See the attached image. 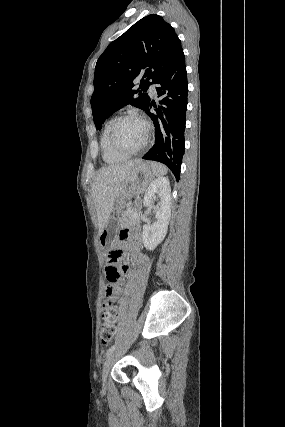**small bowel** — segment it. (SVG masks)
Masks as SVG:
<instances>
[{
  "label": "small bowel",
  "instance_id": "small-bowel-1",
  "mask_svg": "<svg viewBox=\"0 0 285 427\" xmlns=\"http://www.w3.org/2000/svg\"><path fill=\"white\" fill-rule=\"evenodd\" d=\"M130 236L127 239V243H128V247L132 253V259L136 262H141L143 260H145V256L141 253V239H140V228L138 226H135L131 231H130ZM108 289V287H107ZM111 294H110V298L112 300L115 301H120V304L117 308L118 310V316L115 320V322L118 321L120 314L123 313L124 311V305L122 302V288L121 286H111L110 288ZM107 297V294H105L104 298Z\"/></svg>",
  "mask_w": 285,
  "mask_h": 427
}]
</instances>
